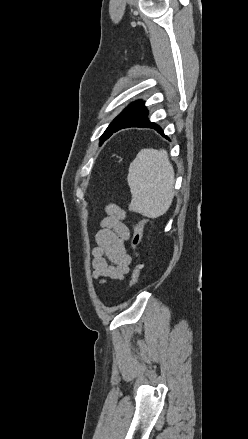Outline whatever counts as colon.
Listing matches in <instances>:
<instances>
[{
    "instance_id": "1",
    "label": "colon",
    "mask_w": 248,
    "mask_h": 439,
    "mask_svg": "<svg viewBox=\"0 0 248 439\" xmlns=\"http://www.w3.org/2000/svg\"><path fill=\"white\" fill-rule=\"evenodd\" d=\"M147 221H148V217H146V216L140 218V220L137 222V224L134 227V232H133V236L131 239L132 248L135 252V256L137 259L135 266L133 268L131 279H130V286L131 287H134L138 283V280L140 277V272H141V268H142V265L139 261L140 245H141V241H142V237H143V227L147 223Z\"/></svg>"
}]
</instances>
